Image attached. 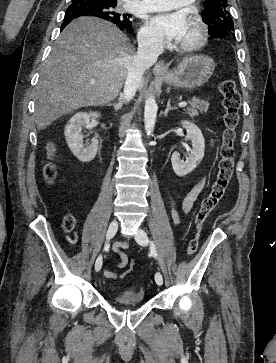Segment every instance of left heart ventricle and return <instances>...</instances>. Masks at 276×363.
Masks as SVG:
<instances>
[{
    "mask_svg": "<svg viewBox=\"0 0 276 363\" xmlns=\"http://www.w3.org/2000/svg\"><path fill=\"white\" fill-rule=\"evenodd\" d=\"M197 36L196 26L193 24L191 19L188 18L187 29L183 35V37L178 41L179 44L188 43L193 41Z\"/></svg>",
    "mask_w": 276,
    "mask_h": 363,
    "instance_id": "obj_1",
    "label": "left heart ventricle"
}]
</instances>
